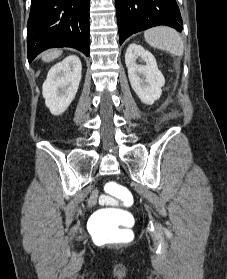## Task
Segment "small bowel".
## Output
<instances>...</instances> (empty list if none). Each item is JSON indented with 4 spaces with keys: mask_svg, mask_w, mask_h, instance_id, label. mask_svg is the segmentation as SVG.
Here are the masks:
<instances>
[{
    "mask_svg": "<svg viewBox=\"0 0 227 279\" xmlns=\"http://www.w3.org/2000/svg\"><path fill=\"white\" fill-rule=\"evenodd\" d=\"M97 199H99L102 202H105L107 204H115V200H113L111 197L109 196H99L97 191H93V193L91 194L89 200H88V206L92 207L96 204Z\"/></svg>",
    "mask_w": 227,
    "mask_h": 279,
    "instance_id": "1",
    "label": "small bowel"
}]
</instances>
